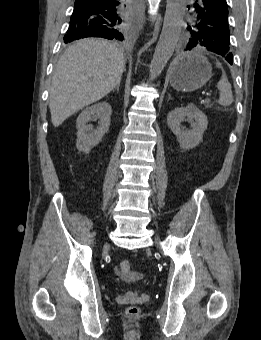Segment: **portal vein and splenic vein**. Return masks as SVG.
Listing matches in <instances>:
<instances>
[{
  "instance_id": "portal-vein-and-splenic-vein-1",
  "label": "portal vein and splenic vein",
  "mask_w": 261,
  "mask_h": 340,
  "mask_svg": "<svg viewBox=\"0 0 261 340\" xmlns=\"http://www.w3.org/2000/svg\"><path fill=\"white\" fill-rule=\"evenodd\" d=\"M211 95H212V94H211L210 92H207V93H206V96H207V97H210Z\"/></svg>"
}]
</instances>
